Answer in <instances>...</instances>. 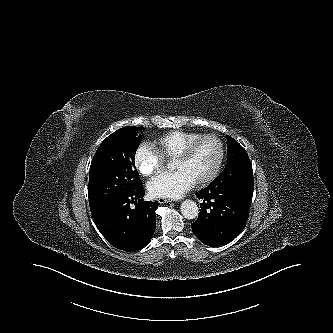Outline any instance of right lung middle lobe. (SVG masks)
I'll return each instance as SVG.
<instances>
[{
	"label": "right lung middle lobe",
	"instance_id": "1",
	"mask_svg": "<svg viewBox=\"0 0 333 333\" xmlns=\"http://www.w3.org/2000/svg\"><path fill=\"white\" fill-rule=\"evenodd\" d=\"M140 127H123L103 140L91 162L89 205L129 193L142 185L134 157L142 137Z\"/></svg>",
	"mask_w": 333,
	"mask_h": 333
}]
</instances>
